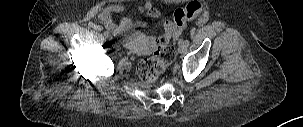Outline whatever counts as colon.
Instances as JSON below:
<instances>
[{"mask_svg": "<svg viewBox=\"0 0 303 127\" xmlns=\"http://www.w3.org/2000/svg\"><path fill=\"white\" fill-rule=\"evenodd\" d=\"M202 11L203 7L200 3L192 2L174 13V21L178 27L183 28L188 21L200 15ZM154 45L153 55L141 60L136 67L138 76L147 83L155 82L175 57V50L166 39L157 38Z\"/></svg>", "mask_w": 303, "mask_h": 127, "instance_id": "5ec220e1", "label": "colon"}]
</instances>
